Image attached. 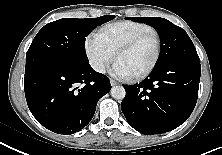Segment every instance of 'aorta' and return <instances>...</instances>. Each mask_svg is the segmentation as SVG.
I'll return each mask as SVG.
<instances>
[{
  "label": "aorta",
  "mask_w": 222,
  "mask_h": 155,
  "mask_svg": "<svg viewBox=\"0 0 222 155\" xmlns=\"http://www.w3.org/2000/svg\"><path fill=\"white\" fill-rule=\"evenodd\" d=\"M111 96L116 100L124 99L126 91L123 86H114L111 88Z\"/></svg>",
  "instance_id": "1"
}]
</instances>
